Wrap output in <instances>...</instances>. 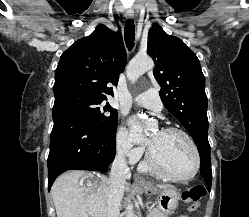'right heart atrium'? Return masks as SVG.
Returning <instances> with one entry per match:
<instances>
[{"label": "right heart atrium", "mask_w": 249, "mask_h": 217, "mask_svg": "<svg viewBox=\"0 0 249 217\" xmlns=\"http://www.w3.org/2000/svg\"><path fill=\"white\" fill-rule=\"evenodd\" d=\"M115 142L119 154L128 162L134 163L141 157L143 150L132 145L130 133L123 125L116 132Z\"/></svg>", "instance_id": "obj_1"}]
</instances>
